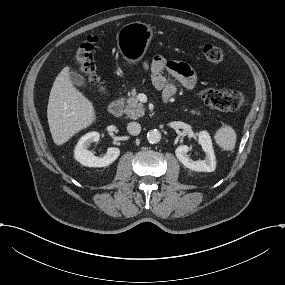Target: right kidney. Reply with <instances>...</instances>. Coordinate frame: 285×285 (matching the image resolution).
Here are the masks:
<instances>
[{
	"mask_svg": "<svg viewBox=\"0 0 285 285\" xmlns=\"http://www.w3.org/2000/svg\"><path fill=\"white\" fill-rule=\"evenodd\" d=\"M100 140V134L98 132H90L84 135L77 143L75 148V159L83 166L86 167H106L115 161L120 155V149L118 147H109L107 154L102 157H96L88 146L92 143L98 144Z\"/></svg>",
	"mask_w": 285,
	"mask_h": 285,
	"instance_id": "ca27d5eb",
	"label": "right kidney"
}]
</instances>
